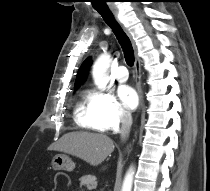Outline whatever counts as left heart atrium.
I'll return each mask as SVG.
<instances>
[{
    "instance_id": "1",
    "label": "left heart atrium",
    "mask_w": 210,
    "mask_h": 191,
    "mask_svg": "<svg viewBox=\"0 0 210 191\" xmlns=\"http://www.w3.org/2000/svg\"><path fill=\"white\" fill-rule=\"evenodd\" d=\"M118 95L123 103V105L129 109L133 110L137 107L139 97L137 92L128 85H122L118 89Z\"/></svg>"
}]
</instances>
